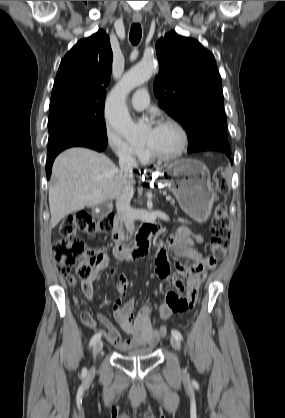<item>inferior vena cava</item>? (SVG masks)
<instances>
[{
  "label": "inferior vena cava",
  "instance_id": "obj_1",
  "mask_svg": "<svg viewBox=\"0 0 285 418\" xmlns=\"http://www.w3.org/2000/svg\"><path fill=\"white\" fill-rule=\"evenodd\" d=\"M118 156L121 174L126 179L123 182L122 192L116 199L117 214L124 222L127 231L132 234L135 230V218L130 206V201L133 197V186L129 178L133 177V168L137 167V162L135 157L124 149L119 150Z\"/></svg>",
  "mask_w": 285,
  "mask_h": 418
}]
</instances>
